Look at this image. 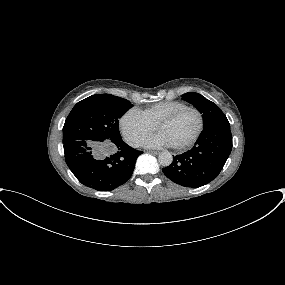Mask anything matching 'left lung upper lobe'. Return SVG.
Listing matches in <instances>:
<instances>
[{"instance_id":"obj_1","label":"left lung upper lobe","mask_w":285,"mask_h":285,"mask_svg":"<svg viewBox=\"0 0 285 285\" xmlns=\"http://www.w3.org/2000/svg\"><path fill=\"white\" fill-rule=\"evenodd\" d=\"M182 98L196 107L198 111L202 113L204 126L212 123L228 122L226 116L220 110V108L215 103L206 99L204 96L195 92H189L183 94Z\"/></svg>"}]
</instances>
